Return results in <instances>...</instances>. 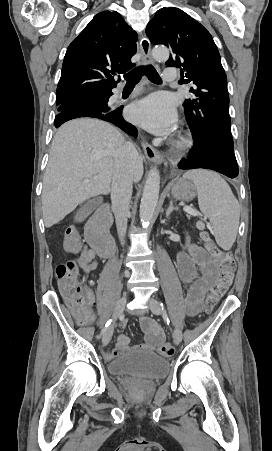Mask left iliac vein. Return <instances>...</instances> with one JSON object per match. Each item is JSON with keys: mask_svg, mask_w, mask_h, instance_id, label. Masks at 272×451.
Listing matches in <instances>:
<instances>
[{"mask_svg": "<svg viewBox=\"0 0 272 451\" xmlns=\"http://www.w3.org/2000/svg\"><path fill=\"white\" fill-rule=\"evenodd\" d=\"M149 308L150 310L155 314V315H161L162 314V308L159 304V302L154 299V298H150L149 302H148ZM174 341L179 344L182 341V332L180 329L175 328L174 329Z\"/></svg>", "mask_w": 272, "mask_h": 451, "instance_id": "4c4485c4", "label": "left iliac vein"}]
</instances>
